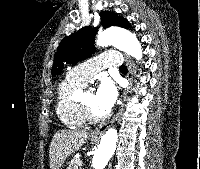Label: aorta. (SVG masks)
<instances>
[{
    "instance_id": "aorta-1",
    "label": "aorta",
    "mask_w": 200,
    "mask_h": 169,
    "mask_svg": "<svg viewBox=\"0 0 200 169\" xmlns=\"http://www.w3.org/2000/svg\"><path fill=\"white\" fill-rule=\"evenodd\" d=\"M96 44L99 47L112 45L124 51L137 60L142 58L141 44L135 35L121 30L107 29L98 34ZM118 141V133L114 128H109L102 136L100 144L92 159L94 169H104L113 156Z\"/></svg>"
}]
</instances>
